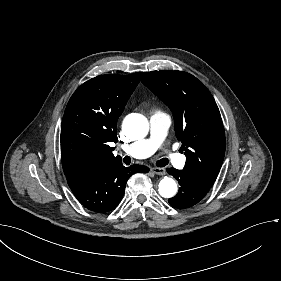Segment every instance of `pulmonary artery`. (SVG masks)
Segmentation results:
<instances>
[{
    "label": "pulmonary artery",
    "instance_id": "e3ab8cb5",
    "mask_svg": "<svg viewBox=\"0 0 281 281\" xmlns=\"http://www.w3.org/2000/svg\"><path fill=\"white\" fill-rule=\"evenodd\" d=\"M170 125L171 118L168 115L163 112L154 113L147 122V130L151 133L150 137L126 146L123 149V154L126 157H137L138 155L148 157L156 150H160L163 147L162 140L166 137ZM165 159L171 162L174 167H180L185 161V157L182 159L173 151H168L165 154Z\"/></svg>",
    "mask_w": 281,
    "mask_h": 281
}]
</instances>
